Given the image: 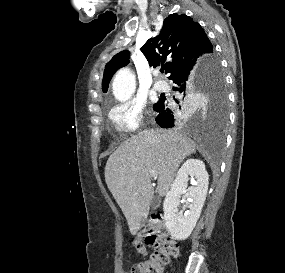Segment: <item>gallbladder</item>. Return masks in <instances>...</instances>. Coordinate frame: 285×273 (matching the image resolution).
<instances>
[{"mask_svg": "<svg viewBox=\"0 0 285 273\" xmlns=\"http://www.w3.org/2000/svg\"><path fill=\"white\" fill-rule=\"evenodd\" d=\"M152 206L153 208L158 207L159 203H160V196L156 195L152 197Z\"/></svg>", "mask_w": 285, "mask_h": 273, "instance_id": "1", "label": "gallbladder"}]
</instances>
